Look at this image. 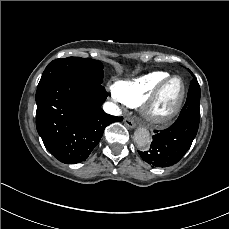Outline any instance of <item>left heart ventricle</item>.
Segmentation results:
<instances>
[{
	"instance_id": "1",
	"label": "left heart ventricle",
	"mask_w": 229,
	"mask_h": 229,
	"mask_svg": "<svg viewBox=\"0 0 229 229\" xmlns=\"http://www.w3.org/2000/svg\"><path fill=\"white\" fill-rule=\"evenodd\" d=\"M183 94L182 82L177 79L164 87L150 105V112L155 117H162L172 110Z\"/></svg>"
}]
</instances>
